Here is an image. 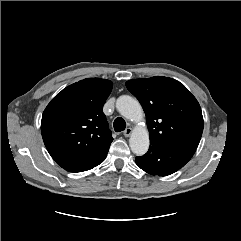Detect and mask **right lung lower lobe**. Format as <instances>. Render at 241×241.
Wrapping results in <instances>:
<instances>
[{
    "label": "right lung lower lobe",
    "instance_id": "1",
    "mask_svg": "<svg viewBox=\"0 0 241 241\" xmlns=\"http://www.w3.org/2000/svg\"><path fill=\"white\" fill-rule=\"evenodd\" d=\"M109 147L88 159L75 161L64 165L62 168L69 172H82L94 168L104 161L107 156Z\"/></svg>",
    "mask_w": 241,
    "mask_h": 241
}]
</instances>
